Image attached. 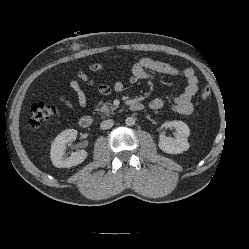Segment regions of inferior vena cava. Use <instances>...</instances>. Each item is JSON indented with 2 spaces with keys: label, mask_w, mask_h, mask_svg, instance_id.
<instances>
[{
  "label": "inferior vena cava",
  "mask_w": 249,
  "mask_h": 249,
  "mask_svg": "<svg viewBox=\"0 0 249 249\" xmlns=\"http://www.w3.org/2000/svg\"><path fill=\"white\" fill-rule=\"evenodd\" d=\"M114 125V121L112 119L104 120L100 124V128L103 130L110 129Z\"/></svg>",
  "instance_id": "1"
}]
</instances>
